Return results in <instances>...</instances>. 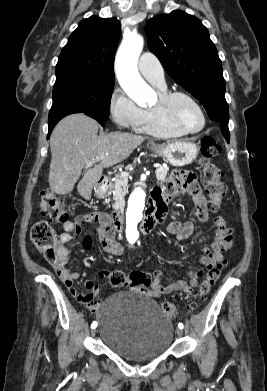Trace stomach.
I'll use <instances>...</instances> for the list:
<instances>
[{
	"label": "stomach",
	"instance_id": "stomach-1",
	"mask_svg": "<svg viewBox=\"0 0 267 391\" xmlns=\"http://www.w3.org/2000/svg\"><path fill=\"white\" fill-rule=\"evenodd\" d=\"M151 149L166 159L171 165L182 167L191 164L197 157V144L188 140H181L170 144L152 145ZM108 191L104 185L95 189L97 197H103Z\"/></svg>",
	"mask_w": 267,
	"mask_h": 391
}]
</instances>
